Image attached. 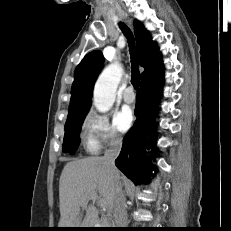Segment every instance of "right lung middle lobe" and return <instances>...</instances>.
I'll return each mask as SVG.
<instances>
[{
    "label": "right lung middle lobe",
    "mask_w": 231,
    "mask_h": 231,
    "mask_svg": "<svg viewBox=\"0 0 231 231\" xmlns=\"http://www.w3.org/2000/svg\"><path fill=\"white\" fill-rule=\"evenodd\" d=\"M88 111H84L75 115H68L65 124V135L63 141V151L73 153L76 151L80 143V130L82 123Z\"/></svg>",
    "instance_id": "obj_1"
}]
</instances>
